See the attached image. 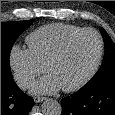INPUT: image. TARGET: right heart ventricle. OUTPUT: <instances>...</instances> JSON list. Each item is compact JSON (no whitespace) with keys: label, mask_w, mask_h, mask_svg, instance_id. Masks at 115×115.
<instances>
[{"label":"right heart ventricle","mask_w":115,"mask_h":115,"mask_svg":"<svg viewBox=\"0 0 115 115\" xmlns=\"http://www.w3.org/2000/svg\"><path fill=\"white\" fill-rule=\"evenodd\" d=\"M83 28L64 23H51L41 26L26 37L29 50L41 65L56 51L70 35Z\"/></svg>","instance_id":"e07e8e85"}]
</instances>
